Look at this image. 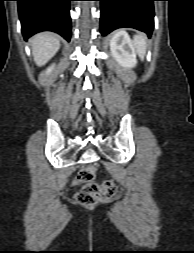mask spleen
<instances>
[{
    "label": "spleen",
    "mask_w": 194,
    "mask_h": 253,
    "mask_svg": "<svg viewBox=\"0 0 194 253\" xmlns=\"http://www.w3.org/2000/svg\"><path fill=\"white\" fill-rule=\"evenodd\" d=\"M133 45L139 57L143 60L146 54V37L143 34H137L133 37Z\"/></svg>",
    "instance_id": "1"
}]
</instances>
